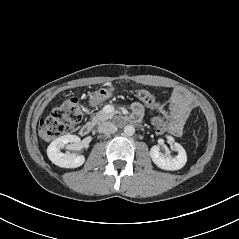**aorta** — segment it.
<instances>
[{"label":"aorta","instance_id":"obj_1","mask_svg":"<svg viewBox=\"0 0 239 239\" xmlns=\"http://www.w3.org/2000/svg\"><path fill=\"white\" fill-rule=\"evenodd\" d=\"M124 133L127 136H132L135 133V128L132 125H126L124 128Z\"/></svg>","mask_w":239,"mask_h":239}]
</instances>
